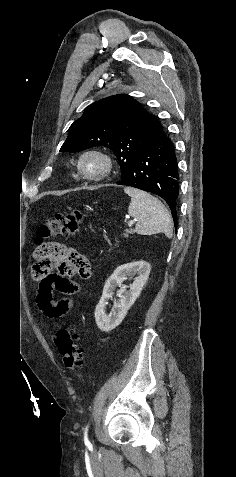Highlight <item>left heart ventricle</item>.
Returning a JSON list of instances; mask_svg holds the SVG:
<instances>
[{"instance_id":"1","label":"left heart ventricle","mask_w":236,"mask_h":477,"mask_svg":"<svg viewBox=\"0 0 236 477\" xmlns=\"http://www.w3.org/2000/svg\"><path fill=\"white\" fill-rule=\"evenodd\" d=\"M103 162L94 156L87 157L82 163V169L86 174H96L102 170Z\"/></svg>"}]
</instances>
